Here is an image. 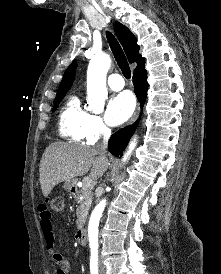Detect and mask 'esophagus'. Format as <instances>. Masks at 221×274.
Masks as SVG:
<instances>
[{
	"mask_svg": "<svg viewBox=\"0 0 221 274\" xmlns=\"http://www.w3.org/2000/svg\"><path fill=\"white\" fill-rule=\"evenodd\" d=\"M139 112H140V108L138 107L137 110H136V112L131 117V119L129 121V124H132V123H134L136 121V119L138 118Z\"/></svg>",
	"mask_w": 221,
	"mask_h": 274,
	"instance_id": "esophagus-1",
	"label": "esophagus"
}]
</instances>
